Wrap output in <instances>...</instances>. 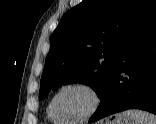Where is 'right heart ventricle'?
Returning a JSON list of instances; mask_svg holds the SVG:
<instances>
[{
    "label": "right heart ventricle",
    "instance_id": "e07e8e85",
    "mask_svg": "<svg viewBox=\"0 0 156 124\" xmlns=\"http://www.w3.org/2000/svg\"><path fill=\"white\" fill-rule=\"evenodd\" d=\"M47 116L48 118L53 122V123H56V124H64L65 122H63V119H60V118H55L50 109H49V106L47 108Z\"/></svg>",
    "mask_w": 156,
    "mask_h": 124
}]
</instances>
